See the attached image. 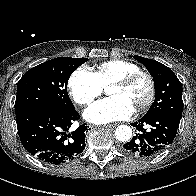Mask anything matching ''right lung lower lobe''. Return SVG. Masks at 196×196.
I'll return each mask as SVG.
<instances>
[{
    "label": "right lung lower lobe",
    "instance_id": "1",
    "mask_svg": "<svg viewBox=\"0 0 196 196\" xmlns=\"http://www.w3.org/2000/svg\"><path fill=\"white\" fill-rule=\"evenodd\" d=\"M78 112L52 106H35L16 116L18 134L24 148L47 164L58 165L77 157L87 141L86 124L70 132Z\"/></svg>",
    "mask_w": 196,
    "mask_h": 196
}]
</instances>
